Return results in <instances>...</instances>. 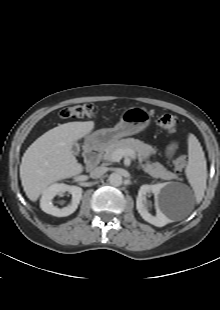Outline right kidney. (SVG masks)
I'll use <instances>...</instances> for the list:
<instances>
[{
    "mask_svg": "<svg viewBox=\"0 0 220 310\" xmlns=\"http://www.w3.org/2000/svg\"><path fill=\"white\" fill-rule=\"evenodd\" d=\"M66 191L72 194L71 204L61 209L57 208L52 203L53 198L56 195ZM82 192H83L82 188L78 186H70L64 183H54L43 191L40 201V207L44 212H46L47 214H51L53 216L57 217L69 216L76 211L82 198Z\"/></svg>",
    "mask_w": 220,
    "mask_h": 310,
    "instance_id": "1",
    "label": "right kidney"
}]
</instances>
